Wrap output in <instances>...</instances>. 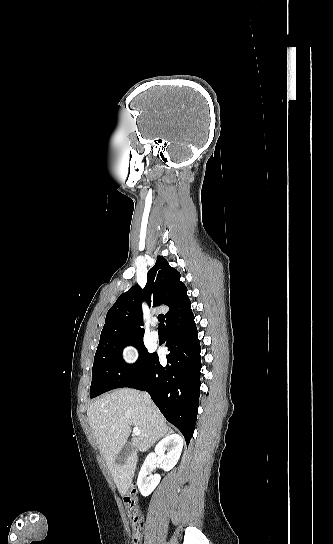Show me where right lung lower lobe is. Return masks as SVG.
<instances>
[{
	"label": "right lung lower lobe",
	"instance_id": "1",
	"mask_svg": "<svg viewBox=\"0 0 333 544\" xmlns=\"http://www.w3.org/2000/svg\"><path fill=\"white\" fill-rule=\"evenodd\" d=\"M167 364L152 354L142 377L129 388L147 391L164 417L189 444L195 429L200 396L201 347L193 313L167 324Z\"/></svg>",
	"mask_w": 333,
	"mask_h": 544
}]
</instances>
